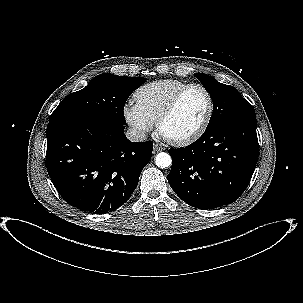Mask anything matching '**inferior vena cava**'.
<instances>
[{
  "mask_svg": "<svg viewBox=\"0 0 303 303\" xmlns=\"http://www.w3.org/2000/svg\"><path fill=\"white\" fill-rule=\"evenodd\" d=\"M126 137L132 142H143L147 139L144 131L137 128H130L126 131Z\"/></svg>",
  "mask_w": 303,
  "mask_h": 303,
  "instance_id": "602c4592",
  "label": "inferior vena cava"
}]
</instances>
